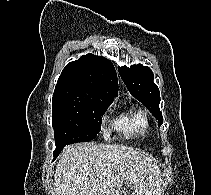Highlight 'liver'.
Here are the masks:
<instances>
[{
	"label": "liver",
	"instance_id": "liver-1",
	"mask_svg": "<svg viewBox=\"0 0 211 195\" xmlns=\"http://www.w3.org/2000/svg\"><path fill=\"white\" fill-rule=\"evenodd\" d=\"M161 176L157 163L133 148L78 143L67 146L60 155L54 195H120L118 189L123 185H133L132 194L161 195Z\"/></svg>",
	"mask_w": 211,
	"mask_h": 195
}]
</instances>
